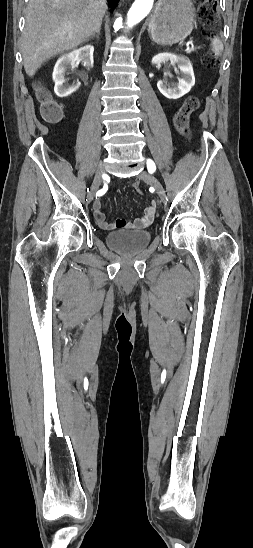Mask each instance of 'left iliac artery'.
<instances>
[{
	"instance_id": "obj_1",
	"label": "left iliac artery",
	"mask_w": 253,
	"mask_h": 548,
	"mask_svg": "<svg viewBox=\"0 0 253 548\" xmlns=\"http://www.w3.org/2000/svg\"><path fill=\"white\" fill-rule=\"evenodd\" d=\"M147 168L150 173H153L156 169L154 162L150 159L147 160Z\"/></svg>"
}]
</instances>
